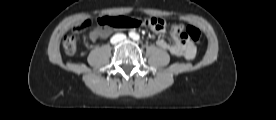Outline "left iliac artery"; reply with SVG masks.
<instances>
[{"label": "left iliac artery", "instance_id": "44dca946", "mask_svg": "<svg viewBox=\"0 0 276 120\" xmlns=\"http://www.w3.org/2000/svg\"><path fill=\"white\" fill-rule=\"evenodd\" d=\"M135 39H136V40H139V35H136V36H135Z\"/></svg>", "mask_w": 276, "mask_h": 120}]
</instances>
